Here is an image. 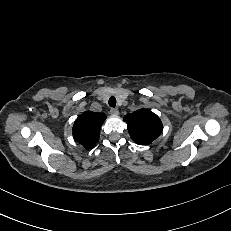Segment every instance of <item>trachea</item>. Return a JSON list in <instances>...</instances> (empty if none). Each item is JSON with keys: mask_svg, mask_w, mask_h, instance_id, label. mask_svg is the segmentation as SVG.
Listing matches in <instances>:
<instances>
[{"mask_svg": "<svg viewBox=\"0 0 231 231\" xmlns=\"http://www.w3.org/2000/svg\"><path fill=\"white\" fill-rule=\"evenodd\" d=\"M109 106L110 107H115L116 106V98L114 97V96H112V97H110V99H109Z\"/></svg>", "mask_w": 231, "mask_h": 231, "instance_id": "obj_1", "label": "trachea"}]
</instances>
